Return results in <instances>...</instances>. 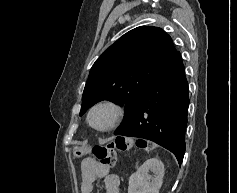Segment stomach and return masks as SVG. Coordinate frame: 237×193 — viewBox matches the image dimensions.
Returning <instances> with one entry per match:
<instances>
[{
	"label": "stomach",
	"instance_id": "1",
	"mask_svg": "<svg viewBox=\"0 0 237 193\" xmlns=\"http://www.w3.org/2000/svg\"><path fill=\"white\" fill-rule=\"evenodd\" d=\"M72 152L74 158H79L88 153V148L86 146H74Z\"/></svg>",
	"mask_w": 237,
	"mask_h": 193
}]
</instances>
